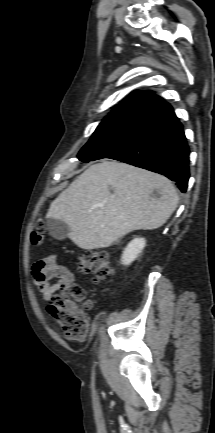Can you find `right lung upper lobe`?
I'll return each mask as SVG.
<instances>
[{
  "mask_svg": "<svg viewBox=\"0 0 215 433\" xmlns=\"http://www.w3.org/2000/svg\"><path fill=\"white\" fill-rule=\"evenodd\" d=\"M168 105L161 97L153 95L151 91L135 90L104 120L126 117L149 119Z\"/></svg>",
  "mask_w": 215,
  "mask_h": 433,
  "instance_id": "right-lung-upper-lobe-1",
  "label": "right lung upper lobe"
}]
</instances>
